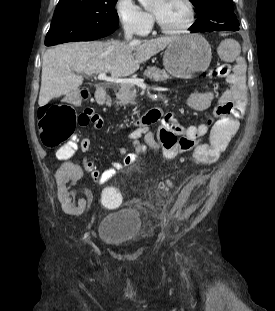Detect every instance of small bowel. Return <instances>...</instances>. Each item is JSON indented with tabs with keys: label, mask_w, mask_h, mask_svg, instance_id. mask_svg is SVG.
<instances>
[{
	"label": "small bowel",
	"mask_w": 275,
	"mask_h": 311,
	"mask_svg": "<svg viewBox=\"0 0 275 311\" xmlns=\"http://www.w3.org/2000/svg\"><path fill=\"white\" fill-rule=\"evenodd\" d=\"M219 57H234L232 74L228 77L229 88L218 96L210 91L197 92L191 95L188 106L194 111L210 110V115L203 122L188 126L181 125L175 115L171 112L164 113L158 110L150 113L145 120V125H138L129 134L130 142L134 148V153H127L124 146L119 147L118 153L123 156L121 160L113 161L111 166L99 172L95 164L89 158H84L83 168L90 173L95 181L100 185L107 183L117 171L132 164L138 155L146 153L148 148L160 152L165 158L171 159L194 147V143L199 142L208 135L210 129L215 127L217 118H240L244 112L247 92L245 85V61L241 56L239 44L231 39L222 42L218 47ZM91 124L94 128L100 129L103 126V119L94 113ZM150 126H156L152 130ZM81 148L87 152L90 148V141L84 138ZM58 156V155H57ZM59 159H67L60 158ZM63 169H56L57 184L60 185V193L57 196L61 201L58 207L59 213L66 216H83L85 199L79 198L82 194V187H73L74 179L84 175V170L79 169L78 160H64ZM74 198H77L74 200ZM115 207V206H112Z\"/></svg>",
	"instance_id": "1"
}]
</instances>
